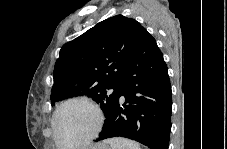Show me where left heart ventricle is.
I'll use <instances>...</instances> for the list:
<instances>
[{"label":"left heart ventricle","mask_w":227,"mask_h":149,"mask_svg":"<svg viewBox=\"0 0 227 149\" xmlns=\"http://www.w3.org/2000/svg\"><path fill=\"white\" fill-rule=\"evenodd\" d=\"M56 124L60 143L72 144L91 133L95 125V115L85 105L71 104L60 111Z\"/></svg>","instance_id":"1"}]
</instances>
